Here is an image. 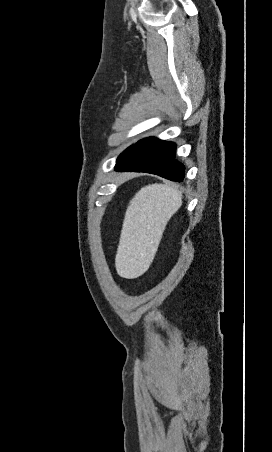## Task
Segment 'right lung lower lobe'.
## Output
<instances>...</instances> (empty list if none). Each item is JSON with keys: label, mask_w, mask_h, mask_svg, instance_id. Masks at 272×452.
<instances>
[{"label": "right lung lower lobe", "mask_w": 272, "mask_h": 452, "mask_svg": "<svg viewBox=\"0 0 272 452\" xmlns=\"http://www.w3.org/2000/svg\"><path fill=\"white\" fill-rule=\"evenodd\" d=\"M116 171L147 172L171 181L184 179L185 167L175 159V144L156 138L137 142L117 162Z\"/></svg>", "instance_id": "98d812e1"}]
</instances>
